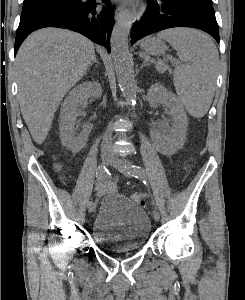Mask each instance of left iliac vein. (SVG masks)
<instances>
[{
  "label": "left iliac vein",
  "instance_id": "1",
  "mask_svg": "<svg viewBox=\"0 0 245 300\" xmlns=\"http://www.w3.org/2000/svg\"><path fill=\"white\" fill-rule=\"evenodd\" d=\"M110 164L114 166L116 169H118L119 171L124 172L126 175L131 177L134 176L133 168H132L133 164L130 161L124 158H119L112 154ZM152 215L156 221H159L160 214L156 208L153 209Z\"/></svg>",
  "mask_w": 245,
  "mask_h": 300
}]
</instances>
